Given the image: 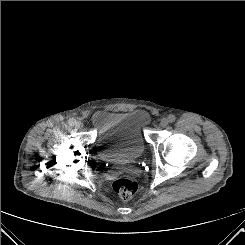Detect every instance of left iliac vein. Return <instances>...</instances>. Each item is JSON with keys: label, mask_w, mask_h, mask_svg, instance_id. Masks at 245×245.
I'll return each instance as SVG.
<instances>
[{"label": "left iliac vein", "mask_w": 245, "mask_h": 245, "mask_svg": "<svg viewBox=\"0 0 245 245\" xmlns=\"http://www.w3.org/2000/svg\"><path fill=\"white\" fill-rule=\"evenodd\" d=\"M168 123H169V121H168L167 118H162L160 120V126L163 127V128L166 127L168 125Z\"/></svg>", "instance_id": "obj_1"}]
</instances>
